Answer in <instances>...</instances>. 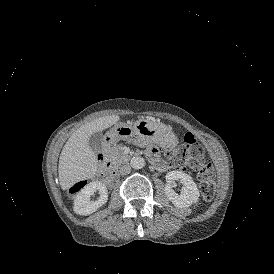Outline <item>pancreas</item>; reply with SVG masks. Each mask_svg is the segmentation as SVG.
<instances>
[{
    "label": "pancreas",
    "instance_id": "cf45deb5",
    "mask_svg": "<svg viewBox=\"0 0 274 274\" xmlns=\"http://www.w3.org/2000/svg\"><path fill=\"white\" fill-rule=\"evenodd\" d=\"M105 160L110 161L117 169L121 164L127 163L130 156L123 153L120 146H107L103 150Z\"/></svg>",
    "mask_w": 274,
    "mask_h": 274
}]
</instances>
